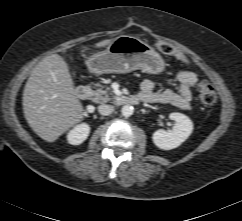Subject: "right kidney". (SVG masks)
I'll return each mask as SVG.
<instances>
[{"instance_id": "1", "label": "right kidney", "mask_w": 242, "mask_h": 221, "mask_svg": "<svg viewBox=\"0 0 242 221\" xmlns=\"http://www.w3.org/2000/svg\"><path fill=\"white\" fill-rule=\"evenodd\" d=\"M90 133V127L86 123H82L74 127L67 135V140L72 145L83 143Z\"/></svg>"}]
</instances>
